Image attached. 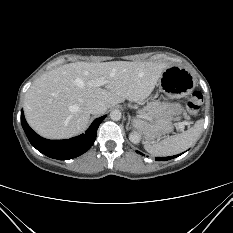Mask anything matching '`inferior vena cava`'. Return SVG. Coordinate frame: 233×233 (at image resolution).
<instances>
[{
    "label": "inferior vena cava",
    "instance_id": "602c4592",
    "mask_svg": "<svg viewBox=\"0 0 233 233\" xmlns=\"http://www.w3.org/2000/svg\"><path fill=\"white\" fill-rule=\"evenodd\" d=\"M86 109L90 114H103L107 110L106 105L97 100H91L86 103Z\"/></svg>",
    "mask_w": 233,
    "mask_h": 233
}]
</instances>
